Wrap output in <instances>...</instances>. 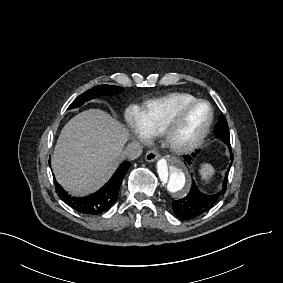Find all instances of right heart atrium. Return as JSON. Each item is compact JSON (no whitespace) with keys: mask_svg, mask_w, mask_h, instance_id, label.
Wrapping results in <instances>:
<instances>
[{"mask_svg":"<svg viewBox=\"0 0 283 283\" xmlns=\"http://www.w3.org/2000/svg\"><path fill=\"white\" fill-rule=\"evenodd\" d=\"M120 129L123 134L124 143L139 148L149 145L150 133L136 109L132 107L125 109Z\"/></svg>","mask_w":283,"mask_h":283,"instance_id":"d8ad5b80","label":"right heart atrium"}]
</instances>
